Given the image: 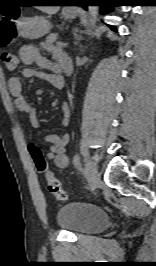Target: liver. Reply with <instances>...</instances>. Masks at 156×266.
Wrapping results in <instances>:
<instances>
[{
	"label": "liver",
	"mask_w": 156,
	"mask_h": 266,
	"mask_svg": "<svg viewBox=\"0 0 156 266\" xmlns=\"http://www.w3.org/2000/svg\"><path fill=\"white\" fill-rule=\"evenodd\" d=\"M39 10L46 14L53 15L58 12L59 6H40Z\"/></svg>",
	"instance_id": "obj_1"
}]
</instances>
